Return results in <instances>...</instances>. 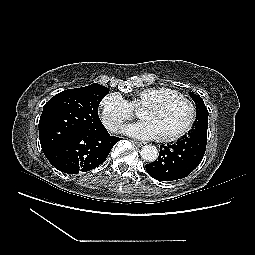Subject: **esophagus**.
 I'll use <instances>...</instances> for the list:
<instances>
[{"label": "esophagus", "mask_w": 255, "mask_h": 255, "mask_svg": "<svg viewBox=\"0 0 255 255\" xmlns=\"http://www.w3.org/2000/svg\"><path fill=\"white\" fill-rule=\"evenodd\" d=\"M132 142H133L136 146H138V147L143 146V144H142L141 142H138V141H135V140H133Z\"/></svg>", "instance_id": "1"}]
</instances>
